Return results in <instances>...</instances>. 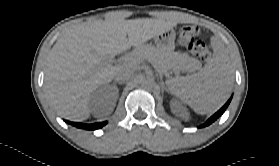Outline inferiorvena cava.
<instances>
[{"instance_id":"1","label":"inferior vena cava","mask_w":279,"mask_h":166,"mask_svg":"<svg viewBox=\"0 0 279 166\" xmlns=\"http://www.w3.org/2000/svg\"><path fill=\"white\" fill-rule=\"evenodd\" d=\"M133 70L127 66L121 67L114 76L115 81L124 82L133 76Z\"/></svg>"}]
</instances>
